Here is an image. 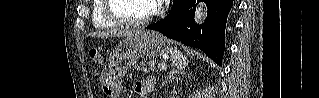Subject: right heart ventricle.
<instances>
[{"instance_id": "1", "label": "right heart ventricle", "mask_w": 319, "mask_h": 98, "mask_svg": "<svg viewBox=\"0 0 319 98\" xmlns=\"http://www.w3.org/2000/svg\"><path fill=\"white\" fill-rule=\"evenodd\" d=\"M104 0H94L91 5V20L95 29H108L114 26L104 15Z\"/></svg>"}]
</instances>
